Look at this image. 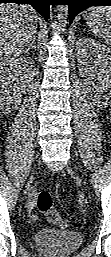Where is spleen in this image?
<instances>
[{
    "mask_svg": "<svg viewBox=\"0 0 111 257\" xmlns=\"http://www.w3.org/2000/svg\"><path fill=\"white\" fill-rule=\"evenodd\" d=\"M85 17L92 32L111 46V6L92 7Z\"/></svg>",
    "mask_w": 111,
    "mask_h": 257,
    "instance_id": "obj_1",
    "label": "spleen"
}]
</instances>
